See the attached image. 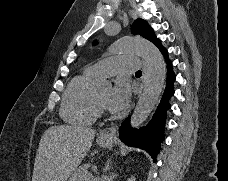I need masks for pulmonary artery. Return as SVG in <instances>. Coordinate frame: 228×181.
Instances as JSON below:
<instances>
[{
	"instance_id": "e3ab8cb5",
	"label": "pulmonary artery",
	"mask_w": 228,
	"mask_h": 181,
	"mask_svg": "<svg viewBox=\"0 0 228 181\" xmlns=\"http://www.w3.org/2000/svg\"><path fill=\"white\" fill-rule=\"evenodd\" d=\"M103 65H90V70H95L94 74L98 77L111 75L112 71H139L138 57H115L106 58ZM101 69V70H99Z\"/></svg>"
}]
</instances>
